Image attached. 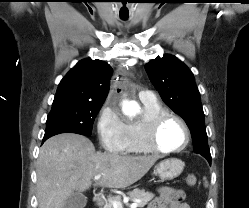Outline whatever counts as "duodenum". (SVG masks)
<instances>
[{
	"label": "duodenum",
	"mask_w": 249,
	"mask_h": 208,
	"mask_svg": "<svg viewBox=\"0 0 249 208\" xmlns=\"http://www.w3.org/2000/svg\"><path fill=\"white\" fill-rule=\"evenodd\" d=\"M104 195L101 194V193H98L96 194L94 197H93V202L96 206H100L102 205V203L104 202Z\"/></svg>",
	"instance_id": "410a0bca"
}]
</instances>
